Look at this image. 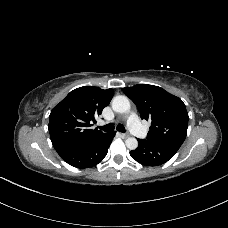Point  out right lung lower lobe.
Listing matches in <instances>:
<instances>
[{
  "mask_svg": "<svg viewBox=\"0 0 228 228\" xmlns=\"http://www.w3.org/2000/svg\"><path fill=\"white\" fill-rule=\"evenodd\" d=\"M115 133V131L105 133L91 141L68 145L56 151L65 162L73 167H92L97 165L106 156Z\"/></svg>",
  "mask_w": 228,
  "mask_h": 228,
  "instance_id": "right-lung-lower-lobe-1",
  "label": "right lung lower lobe"
}]
</instances>
